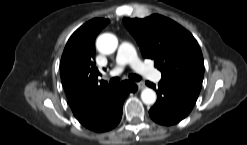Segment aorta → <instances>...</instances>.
Listing matches in <instances>:
<instances>
[{
    "label": "aorta",
    "instance_id": "1",
    "mask_svg": "<svg viewBox=\"0 0 247 145\" xmlns=\"http://www.w3.org/2000/svg\"><path fill=\"white\" fill-rule=\"evenodd\" d=\"M96 46L102 54H112L118 47V39L115 35L110 33L102 34L96 41ZM156 93L151 88H145L141 92V100L146 105H152L156 102Z\"/></svg>",
    "mask_w": 247,
    "mask_h": 145
}]
</instances>
